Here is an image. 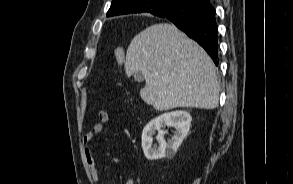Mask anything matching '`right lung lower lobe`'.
I'll return each instance as SVG.
<instances>
[{"label": "right lung lower lobe", "mask_w": 293, "mask_h": 184, "mask_svg": "<svg viewBox=\"0 0 293 184\" xmlns=\"http://www.w3.org/2000/svg\"><path fill=\"white\" fill-rule=\"evenodd\" d=\"M158 16L167 18L198 42L218 65V30L215 9L210 3L200 4L196 1H186Z\"/></svg>", "instance_id": "obj_1"}]
</instances>
